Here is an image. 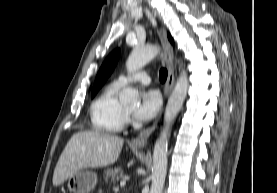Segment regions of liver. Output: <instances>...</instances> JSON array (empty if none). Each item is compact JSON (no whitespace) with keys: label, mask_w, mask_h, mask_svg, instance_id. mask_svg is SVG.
I'll return each mask as SVG.
<instances>
[{"label":"liver","mask_w":277,"mask_h":193,"mask_svg":"<svg viewBox=\"0 0 277 193\" xmlns=\"http://www.w3.org/2000/svg\"><path fill=\"white\" fill-rule=\"evenodd\" d=\"M123 142L120 137L99 131L74 134L56 164L53 185H61L83 169L113 164L120 155Z\"/></svg>","instance_id":"obj_1"}]
</instances>
